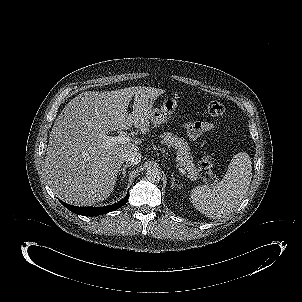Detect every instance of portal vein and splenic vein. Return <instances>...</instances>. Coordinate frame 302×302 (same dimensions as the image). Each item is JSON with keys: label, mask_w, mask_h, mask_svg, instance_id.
<instances>
[{"label": "portal vein and splenic vein", "mask_w": 302, "mask_h": 302, "mask_svg": "<svg viewBox=\"0 0 302 302\" xmlns=\"http://www.w3.org/2000/svg\"><path fill=\"white\" fill-rule=\"evenodd\" d=\"M105 138V147L110 148L113 145L116 144H124L130 142L132 139L127 134H121L118 136H104ZM179 172L182 174H186L185 170L182 168H178Z\"/></svg>", "instance_id": "portal-vein-and-splenic-vein-1"}]
</instances>
